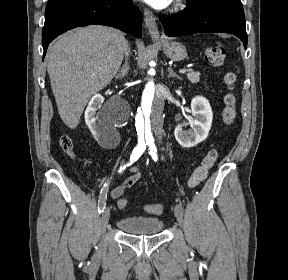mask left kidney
<instances>
[{
	"instance_id": "1",
	"label": "left kidney",
	"mask_w": 288,
	"mask_h": 280,
	"mask_svg": "<svg viewBox=\"0 0 288 280\" xmlns=\"http://www.w3.org/2000/svg\"><path fill=\"white\" fill-rule=\"evenodd\" d=\"M192 118L188 122L178 124L174 130V135L177 142L185 148L193 147L204 141L211 129L213 112L209 101L202 97H194L191 101ZM189 125V130H184L183 127Z\"/></svg>"
}]
</instances>
